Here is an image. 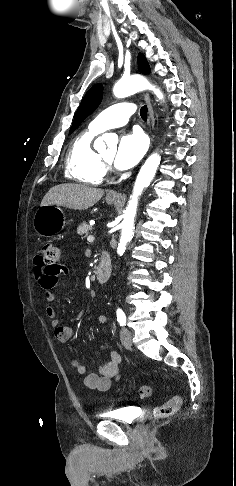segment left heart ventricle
<instances>
[{"label":"left heart ventricle","mask_w":236,"mask_h":486,"mask_svg":"<svg viewBox=\"0 0 236 486\" xmlns=\"http://www.w3.org/2000/svg\"><path fill=\"white\" fill-rule=\"evenodd\" d=\"M113 156H114V151H108V152H105L102 154V157L107 160V161H112L113 159Z\"/></svg>","instance_id":"b2bd125f"}]
</instances>
